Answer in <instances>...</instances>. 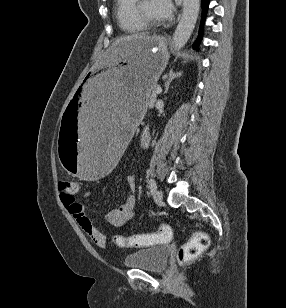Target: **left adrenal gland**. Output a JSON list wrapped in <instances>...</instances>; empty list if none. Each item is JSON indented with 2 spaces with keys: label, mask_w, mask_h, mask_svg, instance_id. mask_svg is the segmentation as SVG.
Segmentation results:
<instances>
[{
  "label": "left adrenal gland",
  "mask_w": 286,
  "mask_h": 308,
  "mask_svg": "<svg viewBox=\"0 0 286 308\" xmlns=\"http://www.w3.org/2000/svg\"><path fill=\"white\" fill-rule=\"evenodd\" d=\"M182 72H177V73H174L173 70H170L169 72V77H168V80L165 84V91H164V94H166L169 90V86H170V83L174 80V79H177L181 76Z\"/></svg>",
  "instance_id": "1"
}]
</instances>
